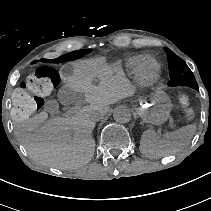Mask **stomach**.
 Masks as SVG:
<instances>
[{
	"label": "stomach",
	"mask_w": 211,
	"mask_h": 211,
	"mask_svg": "<svg viewBox=\"0 0 211 211\" xmlns=\"http://www.w3.org/2000/svg\"><path fill=\"white\" fill-rule=\"evenodd\" d=\"M171 108L172 104L167 94L158 89L151 99L141 104L136 111L144 123L161 125L169 118Z\"/></svg>",
	"instance_id": "1"
}]
</instances>
